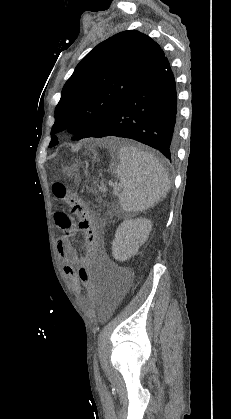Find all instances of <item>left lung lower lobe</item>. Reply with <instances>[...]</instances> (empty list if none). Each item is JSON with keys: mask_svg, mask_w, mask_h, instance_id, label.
I'll list each match as a JSON object with an SVG mask.
<instances>
[{"mask_svg": "<svg viewBox=\"0 0 231 419\" xmlns=\"http://www.w3.org/2000/svg\"><path fill=\"white\" fill-rule=\"evenodd\" d=\"M131 138L157 149L170 162L177 141V95L166 57L147 73L91 137Z\"/></svg>", "mask_w": 231, "mask_h": 419, "instance_id": "obj_1", "label": "left lung lower lobe"}]
</instances>
